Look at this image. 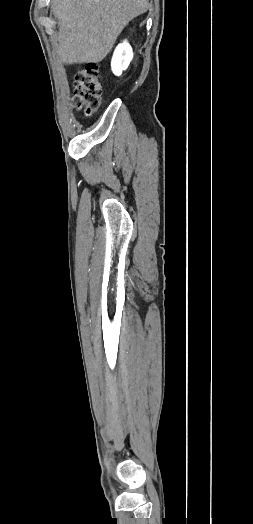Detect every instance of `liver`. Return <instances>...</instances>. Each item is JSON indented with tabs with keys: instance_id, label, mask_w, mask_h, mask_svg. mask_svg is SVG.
I'll return each instance as SVG.
<instances>
[{
	"instance_id": "obj_1",
	"label": "liver",
	"mask_w": 253,
	"mask_h": 524,
	"mask_svg": "<svg viewBox=\"0 0 253 524\" xmlns=\"http://www.w3.org/2000/svg\"><path fill=\"white\" fill-rule=\"evenodd\" d=\"M147 0H54L59 21L57 53L65 64L98 63L118 35L147 11Z\"/></svg>"
}]
</instances>
